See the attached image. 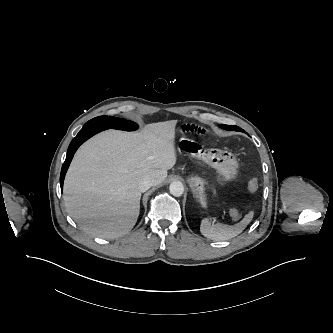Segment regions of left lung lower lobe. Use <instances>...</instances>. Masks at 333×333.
<instances>
[{
    "label": "left lung lower lobe",
    "mask_w": 333,
    "mask_h": 333,
    "mask_svg": "<svg viewBox=\"0 0 333 333\" xmlns=\"http://www.w3.org/2000/svg\"><path fill=\"white\" fill-rule=\"evenodd\" d=\"M240 131L244 132V130L240 129Z\"/></svg>",
    "instance_id": "1"
}]
</instances>
